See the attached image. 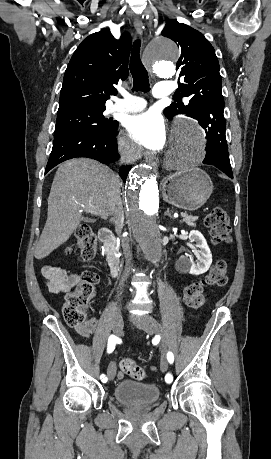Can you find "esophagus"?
I'll list each match as a JSON object with an SVG mask.
<instances>
[{
  "label": "esophagus",
  "mask_w": 271,
  "mask_h": 459,
  "mask_svg": "<svg viewBox=\"0 0 271 459\" xmlns=\"http://www.w3.org/2000/svg\"><path fill=\"white\" fill-rule=\"evenodd\" d=\"M134 27L135 29L141 34V38L142 39H145L146 38V35H145V31L142 30V27H143V23L142 22H134ZM137 55L139 57H142L144 55V52L142 50H139L137 52ZM144 65L145 67L147 68V70L149 72H151V66L149 64L146 63V61L144 60ZM146 163L152 167L153 170L157 169L158 165H159V161L158 159L156 158L155 155H149L146 157Z\"/></svg>",
  "instance_id": "1"
}]
</instances>
